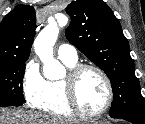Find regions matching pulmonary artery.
<instances>
[{
    "label": "pulmonary artery",
    "mask_w": 145,
    "mask_h": 124,
    "mask_svg": "<svg viewBox=\"0 0 145 124\" xmlns=\"http://www.w3.org/2000/svg\"><path fill=\"white\" fill-rule=\"evenodd\" d=\"M57 55L61 60H68L71 62H76L78 59L75 47L69 44L60 45L57 49Z\"/></svg>",
    "instance_id": "pulmonary-artery-1"
}]
</instances>
